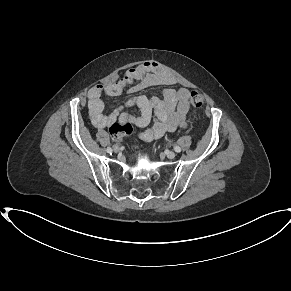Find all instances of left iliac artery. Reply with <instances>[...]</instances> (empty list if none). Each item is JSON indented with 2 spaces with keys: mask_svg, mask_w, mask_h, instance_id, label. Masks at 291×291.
Segmentation results:
<instances>
[{
  "mask_svg": "<svg viewBox=\"0 0 291 291\" xmlns=\"http://www.w3.org/2000/svg\"><path fill=\"white\" fill-rule=\"evenodd\" d=\"M175 152L179 153L181 152V148L179 146H175L174 147Z\"/></svg>",
  "mask_w": 291,
  "mask_h": 291,
  "instance_id": "44dca946",
  "label": "left iliac artery"
}]
</instances>
